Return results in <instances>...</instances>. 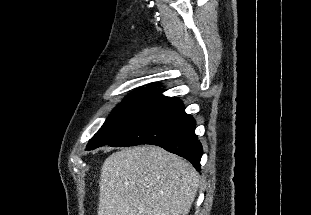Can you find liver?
<instances>
[{
  "instance_id": "liver-1",
  "label": "liver",
  "mask_w": 311,
  "mask_h": 215,
  "mask_svg": "<svg viewBox=\"0 0 311 215\" xmlns=\"http://www.w3.org/2000/svg\"><path fill=\"white\" fill-rule=\"evenodd\" d=\"M198 187L185 159L157 146L126 148L102 165L97 215H188Z\"/></svg>"
}]
</instances>
